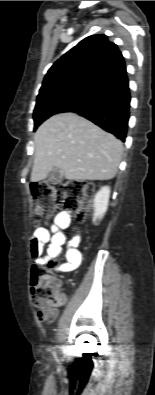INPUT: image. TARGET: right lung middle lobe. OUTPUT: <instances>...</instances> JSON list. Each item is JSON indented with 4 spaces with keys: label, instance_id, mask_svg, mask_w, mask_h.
Segmentation results:
<instances>
[{
    "label": "right lung middle lobe",
    "instance_id": "right-lung-middle-lobe-1",
    "mask_svg": "<svg viewBox=\"0 0 155 395\" xmlns=\"http://www.w3.org/2000/svg\"><path fill=\"white\" fill-rule=\"evenodd\" d=\"M100 87L89 81H69L40 90L33 113L36 129L50 116L67 111Z\"/></svg>",
    "mask_w": 155,
    "mask_h": 395
}]
</instances>
